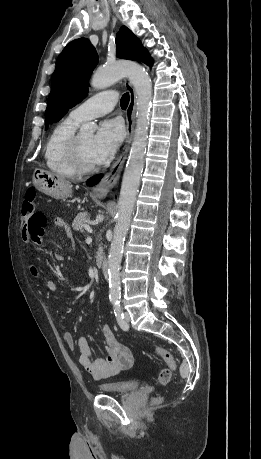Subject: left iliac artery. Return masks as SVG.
I'll list each match as a JSON object with an SVG mask.
<instances>
[{"instance_id":"left-iliac-artery-1","label":"left iliac artery","mask_w":261,"mask_h":459,"mask_svg":"<svg viewBox=\"0 0 261 459\" xmlns=\"http://www.w3.org/2000/svg\"><path fill=\"white\" fill-rule=\"evenodd\" d=\"M114 313L121 329L128 330L129 326L124 319V314L119 301L114 302Z\"/></svg>"}]
</instances>
